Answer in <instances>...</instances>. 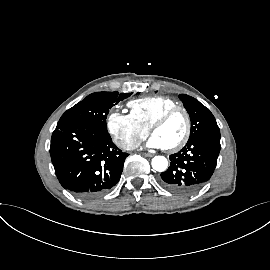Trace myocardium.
Instances as JSON below:
<instances>
[{"instance_id": "obj_1", "label": "myocardium", "mask_w": 270, "mask_h": 270, "mask_svg": "<svg viewBox=\"0 0 270 270\" xmlns=\"http://www.w3.org/2000/svg\"><path fill=\"white\" fill-rule=\"evenodd\" d=\"M177 112H182L184 114V116L186 118V130H185L183 137L181 138V140L179 142H177L175 145H173L171 147L164 148L165 151H167L169 153H174V152H177L180 149H182L186 145V143L188 142V140L190 138L191 131H192V120H191V116H190L189 112L187 111V109L182 107V106H179V105L171 107V108L167 109L165 112H163L154 121V123L150 127L151 133L154 134V132L159 127H161L163 124H165Z\"/></svg>"}]
</instances>
